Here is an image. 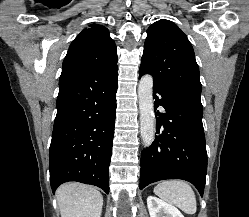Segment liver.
Returning a JSON list of instances; mask_svg holds the SVG:
<instances>
[{
  "instance_id": "6515ba94",
  "label": "liver",
  "mask_w": 249,
  "mask_h": 217,
  "mask_svg": "<svg viewBox=\"0 0 249 217\" xmlns=\"http://www.w3.org/2000/svg\"><path fill=\"white\" fill-rule=\"evenodd\" d=\"M61 217H100L103 196L94 187L80 183H66L56 191Z\"/></svg>"
}]
</instances>
